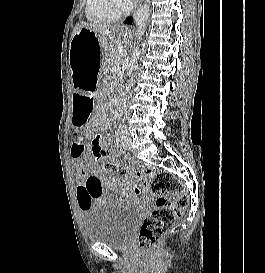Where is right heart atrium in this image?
Returning a JSON list of instances; mask_svg holds the SVG:
<instances>
[{
	"instance_id": "1",
	"label": "right heart atrium",
	"mask_w": 265,
	"mask_h": 273,
	"mask_svg": "<svg viewBox=\"0 0 265 273\" xmlns=\"http://www.w3.org/2000/svg\"><path fill=\"white\" fill-rule=\"evenodd\" d=\"M114 5L118 8H123L126 6L128 0H112Z\"/></svg>"
}]
</instances>
